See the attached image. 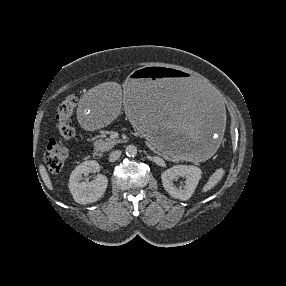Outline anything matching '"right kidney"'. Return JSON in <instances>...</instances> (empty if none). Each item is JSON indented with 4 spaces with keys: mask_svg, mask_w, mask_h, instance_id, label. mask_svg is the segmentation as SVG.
Segmentation results:
<instances>
[{
    "mask_svg": "<svg viewBox=\"0 0 286 286\" xmlns=\"http://www.w3.org/2000/svg\"><path fill=\"white\" fill-rule=\"evenodd\" d=\"M100 166L95 160H87L78 165L71 173L69 190L74 200L80 204L93 203L100 199L107 188L108 179L105 175L98 174L91 182L81 181L82 175L98 172Z\"/></svg>",
    "mask_w": 286,
    "mask_h": 286,
    "instance_id": "right-kidney-1",
    "label": "right kidney"
}]
</instances>
